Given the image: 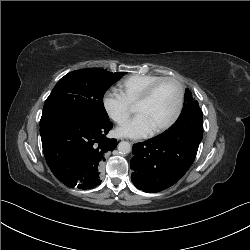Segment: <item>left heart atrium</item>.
I'll use <instances>...</instances> for the list:
<instances>
[{"label": "left heart atrium", "mask_w": 250, "mask_h": 250, "mask_svg": "<svg viewBox=\"0 0 250 250\" xmlns=\"http://www.w3.org/2000/svg\"><path fill=\"white\" fill-rule=\"evenodd\" d=\"M152 131L153 130L148 121L141 114H137L135 117L116 129L117 135L129 138L147 137L152 133Z\"/></svg>", "instance_id": "1"}]
</instances>
